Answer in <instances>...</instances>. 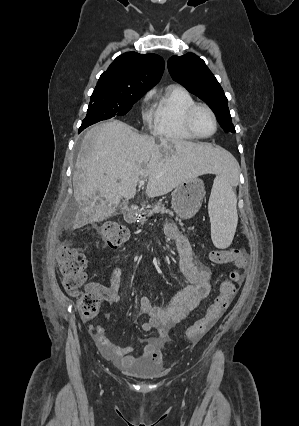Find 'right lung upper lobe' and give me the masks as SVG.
Listing matches in <instances>:
<instances>
[{
    "instance_id": "cb5924a9",
    "label": "right lung upper lobe",
    "mask_w": 299,
    "mask_h": 426,
    "mask_svg": "<svg viewBox=\"0 0 299 426\" xmlns=\"http://www.w3.org/2000/svg\"><path fill=\"white\" fill-rule=\"evenodd\" d=\"M164 71V60L156 54L127 52L117 57L100 76L96 87L125 94L147 92Z\"/></svg>"
}]
</instances>
